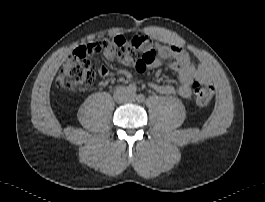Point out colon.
I'll return each mask as SVG.
<instances>
[{"mask_svg": "<svg viewBox=\"0 0 265 202\" xmlns=\"http://www.w3.org/2000/svg\"><path fill=\"white\" fill-rule=\"evenodd\" d=\"M144 37L127 39L113 37L94 44L87 49L89 54L96 55L106 51H116L121 54H131L135 50L141 53L136 60L135 68L139 73L145 71V61L154 55V49L144 43ZM88 53L72 54L63 62L56 79L57 86L71 92L80 91L84 86L91 85L97 78H110L112 73L107 68H97L87 58ZM194 99L199 107H208L214 98L212 85L194 82L192 85Z\"/></svg>", "mask_w": 265, "mask_h": 202, "instance_id": "colon-1", "label": "colon"}]
</instances>
